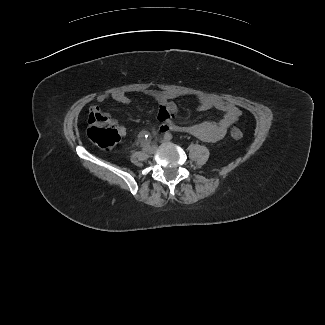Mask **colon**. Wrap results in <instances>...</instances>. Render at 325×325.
I'll use <instances>...</instances> for the list:
<instances>
[{
	"label": "colon",
	"mask_w": 325,
	"mask_h": 325,
	"mask_svg": "<svg viewBox=\"0 0 325 325\" xmlns=\"http://www.w3.org/2000/svg\"><path fill=\"white\" fill-rule=\"evenodd\" d=\"M230 134L236 140L243 137L242 131L238 128H233ZM87 135L93 143L106 150L113 148L119 141L114 121L98 111L90 112Z\"/></svg>",
	"instance_id": "1"
}]
</instances>
